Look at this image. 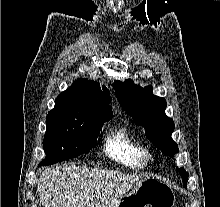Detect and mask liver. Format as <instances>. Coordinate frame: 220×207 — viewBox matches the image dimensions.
Wrapping results in <instances>:
<instances>
[{
    "instance_id": "6515ba94",
    "label": "liver",
    "mask_w": 220,
    "mask_h": 207,
    "mask_svg": "<svg viewBox=\"0 0 220 207\" xmlns=\"http://www.w3.org/2000/svg\"><path fill=\"white\" fill-rule=\"evenodd\" d=\"M143 178L75 164L45 169L38 193L45 207H114Z\"/></svg>"
}]
</instances>
